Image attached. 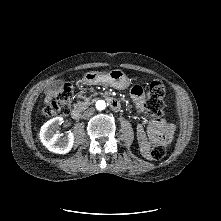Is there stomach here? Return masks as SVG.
<instances>
[{"label": "stomach", "mask_w": 221, "mask_h": 221, "mask_svg": "<svg viewBox=\"0 0 221 221\" xmlns=\"http://www.w3.org/2000/svg\"><path fill=\"white\" fill-rule=\"evenodd\" d=\"M82 81L87 85L103 84L119 90L127 89L131 84L129 78L120 69L108 72L90 71L83 76Z\"/></svg>", "instance_id": "1"}]
</instances>
